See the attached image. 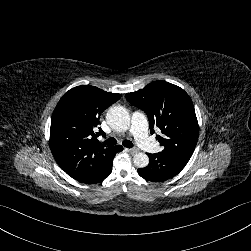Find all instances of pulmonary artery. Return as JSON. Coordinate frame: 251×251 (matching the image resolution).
I'll return each mask as SVG.
<instances>
[{"mask_svg":"<svg viewBox=\"0 0 251 251\" xmlns=\"http://www.w3.org/2000/svg\"><path fill=\"white\" fill-rule=\"evenodd\" d=\"M134 134L136 136L139 147L143 151L155 153L159 149V144L155 140H151L147 129V118L143 114H137L133 118Z\"/></svg>","mask_w":251,"mask_h":251,"instance_id":"obj_1","label":"pulmonary artery"}]
</instances>
